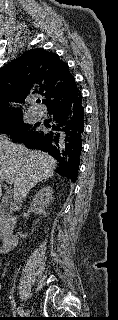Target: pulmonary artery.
Listing matches in <instances>:
<instances>
[{
	"label": "pulmonary artery",
	"mask_w": 118,
	"mask_h": 320,
	"mask_svg": "<svg viewBox=\"0 0 118 320\" xmlns=\"http://www.w3.org/2000/svg\"><path fill=\"white\" fill-rule=\"evenodd\" d=\"M32 113H33V115H35V116H40V115H41V112H40L38 109H36V108H33V109H32Z\"/></svg>",
	"instance_id": "e3ab8cb5"
}]
</instances>
